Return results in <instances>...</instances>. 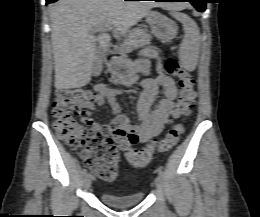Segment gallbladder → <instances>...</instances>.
Masks as SVG:
<instances>
[{
    "mask_svg": "<svg viewBox=\"0 0 260 217\" xmlns=\"http://www.w3.org/2000/svg\"><path fill=\"white\" fill-rule=\"evenodd\" d=\"M102 53L97 50L96 51V55L93 61V65H92V75L93 76H99L102 69H103V60H102Z\"/></svg>",
    "mask_w": 260,
    "mask_h": 217,
    "instance_id": "obj_1",
    "label": "gallbladder"
}]
</instances>
